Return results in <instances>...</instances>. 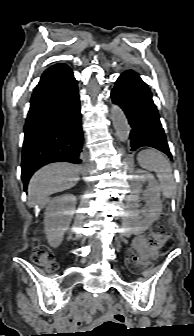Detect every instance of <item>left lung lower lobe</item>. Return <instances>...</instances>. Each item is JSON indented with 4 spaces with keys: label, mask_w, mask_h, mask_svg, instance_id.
Listing matches in <instances>:
<instances>
[{
    "label": "left lung lower lobe",
    "mask_w": 194,
    "mask_h": 336,
    "mask_svg": "<svg viewBox=\"0 0 194 336\" xmlns=\"http://www.w3.org/2000/svg\"><path fill=\"white\" fill-rule=\"evenodd\" d=\"M111 97L124 111L132 128L129 134L131 151L148 146L164 152L172 159L152 94L139 75L131 70L122 73Z\"/></svg>",
    "instance_id": "1"
}]
</instances>
